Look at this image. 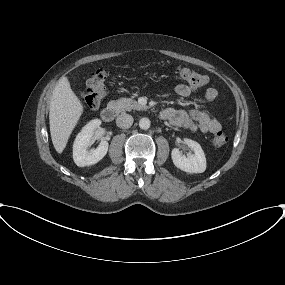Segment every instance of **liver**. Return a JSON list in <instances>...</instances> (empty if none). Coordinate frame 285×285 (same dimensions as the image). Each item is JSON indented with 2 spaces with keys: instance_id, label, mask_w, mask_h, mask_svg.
<instances>
[{
  "instance_id": "liver-1",
  "label": "liver",
  "mask_w": 285,
  "mask_h": 285,
  "mask_svg": "<svg viewBox=\"0 0 285 285\" xmlns=\"http://www.w3.org/2000/svg\"><path fill=\"white\" fill-rule=\"evenodd\" d=\"M84 107L71 89L67 77L55 86L49 106V124L53 146L61 154L82 115Z\"/></svg>"
}]
</instances>
